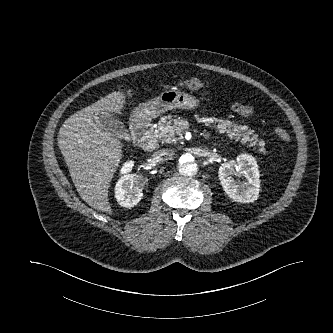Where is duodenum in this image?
<instances>
[{"instance_id":"1","label":"duodenum","mask_w":333,"mask_h":333,"mask_svg":"<svg viewBox=\"0 0 333 333\" xmlns=\"http://www.w3.org/2000/svg\"><path fill=\"white\" fill-rule=\"evenodd\" d=\"M132 135L135 143L148 151L157 147V137L153 124L147 114H141L132 123Z\"/></svg>"}]
</instances>
